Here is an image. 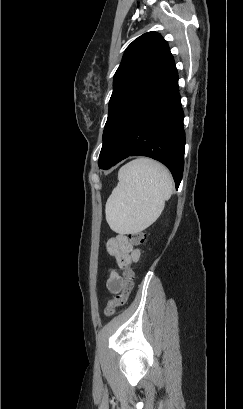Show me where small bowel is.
I'll list each match as a JSON object with an SVG mask.
<instances>
[{"label":"small bowel","instance_id":"small-bowel-1","mask_svg":"<svg viewBox=\"0 0 243 409\" xmlns=\"http://www.w3.org/2000/svg\"><path fill=\"white\" fill-rule=\"evenodd\" d=\"M108 253L116 260L120 268L128 267L132 261L139 258V251L129 242L125 234H118L107 242ZM123 283V278L116 271H109L106 287L111 293H117Z\"/></svg>","mask_w":243,"mask_h":409}]
</instances>
